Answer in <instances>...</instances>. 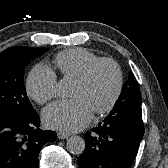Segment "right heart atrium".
<instances>
[{
    "mask_svg": "<svg viewBox=\"0 0 168 168\" xmlns=\"http://www.w3.org/2000/svg\"><path fill=\"white\" fill-rule=\"evenodd\" d=\"M25 88L31 99L43 104L57 94V75L46 65H36L28 74Z\"/></svg>",
    "mask_w": 168,
    "mask_h": 168,
    "instance_id": "d8ad5b80",
    "label": "right heart atrium"
}]
</instances>
